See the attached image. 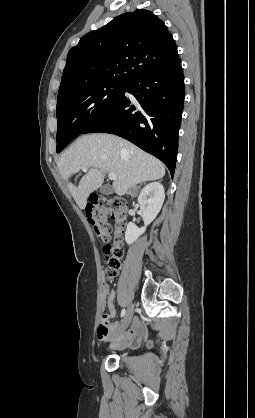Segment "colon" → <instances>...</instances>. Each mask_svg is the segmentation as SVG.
I'll list each match as a JSON object with an SVG mask.
<instances>
[{
  "mask_svg": "<svg viewBox=\"0 0 255 418\" xmlns=\"http://www.w3.org/2000/svg\"><path fill=\"white\" fill-rule=\"evenodd\" d=\"M128 204L123 198L107 199L95 196L87 207V217L96 234L103 242L106 277L111 280L117 276L124 254L122 233L126 224V210ZM114 221V225L108 222ZM105 316H101L100 326L104 327Z\"/></svg>",
  "mask_w": 255,
  "mask_h": 418,
  "instance_id": "5ec220e1",
  "label": "colon"
}]
</instances>
